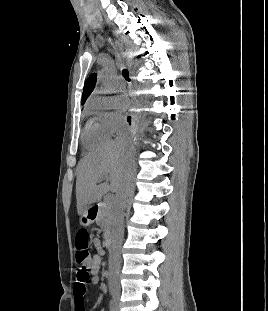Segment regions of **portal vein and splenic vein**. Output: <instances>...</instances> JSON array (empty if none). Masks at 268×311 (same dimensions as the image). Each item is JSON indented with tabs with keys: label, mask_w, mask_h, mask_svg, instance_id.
<instances>
[{
	"label": "portal vein and splenic vein",
	"mask_w": 268,
	"mask_h": 311,
	"mask_svg": "<svg viewBox=\"0 0 268 311\" xmlns=\"http://www.w3.org/2000/svg\"><path fill=\"white\" fill-rule=\"evenodd\" d=\"M109 178L108 177H106L104 180H108Z\"/></svg>",
	"instance_id": "18ae733b"
}]
</instances>
